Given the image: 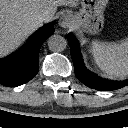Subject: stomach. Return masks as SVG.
I'll use <instances>...</instances> for the list:
<instances>
[{"label": "stomach", "mask_w": 128, "mask_h": 128, "mask_svg": "<svg viewBox=\"0 0 128 128\" xmlns=\"http://www.w3.org/2000/svg\"><path fill=\"white\" fill-rule=\"evenodd\" d=\"M81 8L72 15L74 27L85 33L97 34L104 25V10L108 0H81Z\"/></svg>", "instance_id": "0dacf381"}]
</instances>
